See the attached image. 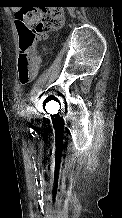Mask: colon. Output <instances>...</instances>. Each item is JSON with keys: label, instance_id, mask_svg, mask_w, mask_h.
Here are the masks:
<instances>
[{"label": "colon", "instance_id": "obj_1", "mask_svg": "<svg viewBox=\"0 0 122 218\" xmlns=\"http://www.w3.org/2000/svg\"><path fill=\"white\" fill-rule=\"evenodd\" d=\"M15 19L20 47L18 74L21 84L26 85L32 81L38 68V58L34 53L36 43L62 25L63 15L59 7H29L19 9Z\"/></svg>", "mask_w": 122, "mask_h": 218}]
</instances>
